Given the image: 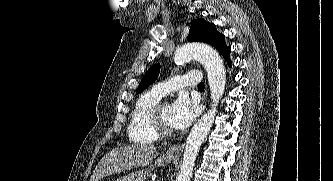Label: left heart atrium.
<instances>
[{
  "label": "left heart atrium",
  "mask_w": 333,
  "mask_h": 181,
  "mask_svg": "<svg viewBox=\"0 0 333 181\" xmlns=\"http://www.w3.org/2000/svg\"><path fill=\"white\" fill-rule=\"evenodd\" d=\"M196 115V105L186 96H180L171 105L170 124L175 129H184L192 123Z\"/></svg>",
  "instance_id": "obj_1"
}]
</instances>
